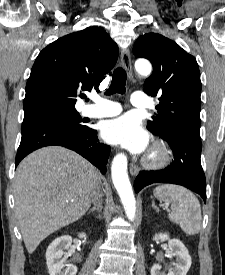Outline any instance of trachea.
Masks as SVG:
<instances>
[{
  "mask_svg": "<svg viewBox=\"0 0 225 275\" xmlns=\"http://www.w3.org/2000/svg\"><path fill=\"white\" fill-rule=\"evenodd\" d=\"M126 79H127L126 71L121 67L116 68L113 72L111 85L109 89H107L106 94L107 95H112L115 93L125 94Z\"/></svg>",
  "mask_w": 225,
  "mask_h": 275,
  "instance_id": "3493384b",
  "label": "trachea"
}]
</instances>
